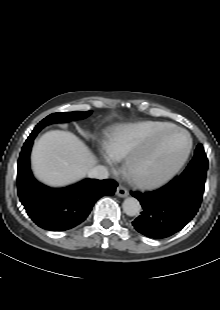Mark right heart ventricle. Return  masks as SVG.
Returning a JSON list of instances; mask_svg holds the SVG:
<instances>
[{
	"label": "right heart ventricle",
	"instance_id": "obj_1",
	"mask_svg": "<svg viewBox=\"0 0 220 310\" xmlns=\"http://www.w3.org/2000/svg\"><path fill=\"white\" fill-rule=\"evenodd\" d=\"M170 126L159 121H144L119 128L105 145L106 154L115 161L126 158L134 150L145 146L158 131Z\"/></svg>",
	"mask_w": 220,
	"mask_h": 310
}]
</instances>
